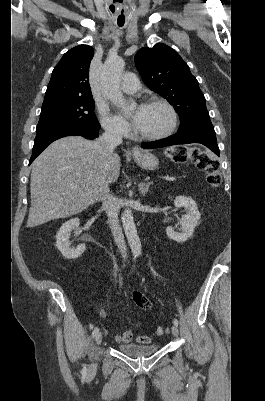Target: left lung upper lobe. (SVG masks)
<instances>
[{"label": "left lung upper lobe", "mask_w": 265, "mask_h": 401, "mask_svg": "<svg viewBox=\"0 0 265 401\" xmlns=\"http://www.w3.org/2000/svg\"><path fill=\"white\" fill-rule=\"evenodd\" d=\"M135 64L146 86L174 106L180 117L179 129L210 120L198 81L174 49L162 43L142 48L135 55Z\"/></svg>", "instance_id": "left-lung-upper-lobe-1"}]
</instances>
